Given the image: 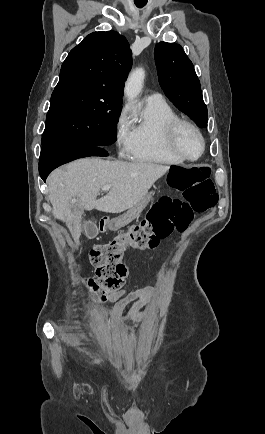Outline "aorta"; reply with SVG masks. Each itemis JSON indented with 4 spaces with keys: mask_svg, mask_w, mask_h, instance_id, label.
<instances>
[{
    "mask_svg": "<svg viewBox=\"0 0 265 434\" xmlns=\"http://www.w3.org/2000/svg\"><path fill=\"white\" fill-rule=\"evenodd\" d=\"M145 80V72L143 68H136L127 78V82L124 88V96L128 102L135 100L142 92L143 84Z\"/></svg>",
    "mask_w": 265,
    "mask_h": 434,
    "instance_id": "aorta-1",
    "label": "aorta"
}]
</instances>
